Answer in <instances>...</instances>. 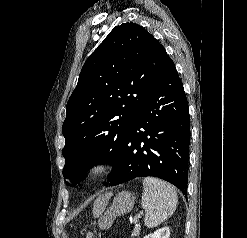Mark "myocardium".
Instances as JSON below:
<instances>
[{
    "mask_svg": "<svg viewBox=\"0 0 247 238\" xmlns=\"http://www.w3.org/2000/svg\"><path fill=\"white\" fill-rule=\"evenodd\" d=\"M110 169V163L103 158L92 161L84 171L87 180L93 181L103 177Z\"/></svg>",
    "mask_w": 247,
    "mask_h": 238,
    "instance_id": "obj_1",
    "label": "myocardium"
}]
</instances>
